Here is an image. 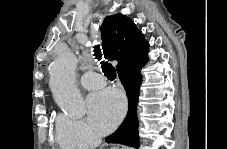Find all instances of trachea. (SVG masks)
Masks as SVG:
<instances>
[{"mask_svg": "<svg viewBox=\"0 0 227 149\" xmlns=\"http://www.w3.org/2000/svg\"><path fill=\"white\" fill-rule=\"evenodd\" d=\"M94 55L96 56V59L101 60V50L99 48V45H96L94 47ZM101 68L104 73V75L111 81L116 79V70L115 68L107 62H101Z\"/></svg>", "mask_w": 227, "mask_h": 149, "instance_id": "1", "label": "trachea"}]
</instances>
